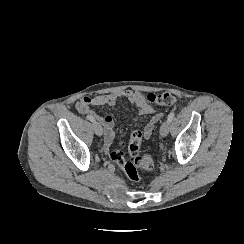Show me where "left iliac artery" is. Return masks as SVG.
<instances>
[{
	"instance_id": "1",
	"label": "left iliac artery",
	"mask_w": 244,
	"mask_h": 244,
	"mask_svg": "<svg viewBox=\"0 0 244 244\" xmlns=\"http://www.w3.org/2000/svg\"><path fill=\"white\" fill-rule=\"evenodd\" d=\"M174 117H175V112L172 111V112L168 115L167 120H168L169 122H172V120L174 119Z\"/></svg>"
}]
</instances>
